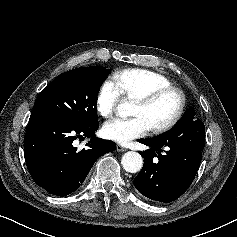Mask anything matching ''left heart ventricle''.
<instances>
[{"mask_svg": "<svg viewBox=\"0 0 237 237\" xmlns=\"http://www.w3.org/2000/svg\"><path fill=\"white\" fill-rule=\"evenodd\" d=\"M177 106L178 97L175 94H168L151 105L135 102L132 115L142 117L151 128L169 120L174 115Z\"/></svg>", "mask_w": 237, "mask_h": 237, "instance_id": "left-heart-ventricle-1", "label": "left heart ventricle"}]
</instances>
